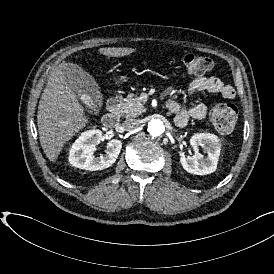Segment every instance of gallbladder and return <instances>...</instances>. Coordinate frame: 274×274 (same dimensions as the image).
Returning a JSON list of instances; mask_svg holds the SVG:
<instances>
[{"label":"gallbladder","instance_id":"bac80fb5","mask_svg":"<svg viewBox=\"0 0 274 274\" xmlns=\"http://www.w3.org/2000/svg\"><path fill=\"white\" fill-rule=\"evenodd\" d=\"M63 76L67 86L73 90L81 104L91 110L101 107L103 103L101 90L92 75L81 70L79 66L70 64L65 67Z\"/></svg>","mask_w":274,"mask_h":274}]
</instances>
